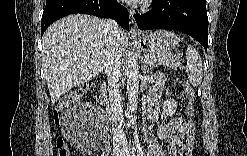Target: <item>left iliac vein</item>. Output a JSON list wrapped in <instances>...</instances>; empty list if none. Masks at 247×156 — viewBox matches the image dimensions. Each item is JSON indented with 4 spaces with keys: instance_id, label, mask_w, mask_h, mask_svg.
<instances>
[{
    "instance_id": "obj_1",
    "label": "left iliac vein",
    "mask_w": 247,
    "mask_h": 156,
    "mask_svg": "<svg viewBox=\"0 0 247 156\" xmlns=\"http://www.w3.org/2000/svg\"><path fill=\"white\" fill-rule=\"evenodd\" d=\"M122 152L125 156H134L133 148L129 145H125Z\"/></svg>"
}]
</instances>
